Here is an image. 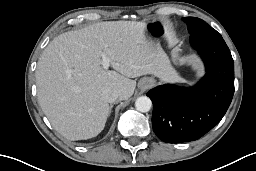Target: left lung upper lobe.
<instances>
[{"label": "left lung upper lobe", "instance_id": "obj_1", "mask_svg": "<svg viewBox=\"0 0 256 171\" xmlns=\"http://www.w3.org/2000/svg\"><path fill=\"white\" fill-rule=\"evenodd\" d=\"M183 21L187 23L191 35H211L221 36L215 29L209 26L205 21L196 17H185Z\"/></svg>", "mask_w": 256, "mask_h": 171}]
</instances>
